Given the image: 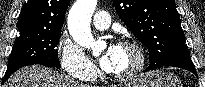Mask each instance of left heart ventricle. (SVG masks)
<instances>
[{"label":"left heart ventricle","mask_w":205,"mask_h":87,"mask_svg":"<svg viewBox=\"0 0 205 87\" xmlns=\"http://www.w3.org/2000/svg\"><path fill=\"white\" fill-rule=\"evenodd\" d=\"M108 49L104 50V54ZM136 53L129 48L117 46L112 58V73H126L136 64Z\"/></svg>","instance_id":"b2bd125f"}]
</instances>
